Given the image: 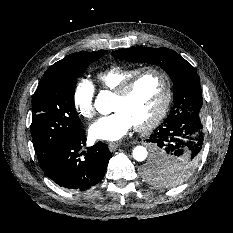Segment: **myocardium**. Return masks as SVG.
Returning a JSON list of instances; mask_svg holds the SVG:
<instances>
[{"label":"myocardium","mask_w":233,"mask_h":233,"mask_svg":"<svg viewBox=\"0 0 233 233\" xmlns=\"http://www.w3.org/2000/svg\"><path fill=\"white\" fill-rule=\"evenodd\" d=\"M155 72L162 76L164 81V95L162 103L157 112L146 122L135 125V129L140 132H147L155 128L166 115L172 100V81L168 72L159 66H146L138 70L126 79L115 91V95L125 97L128 95L136 81L145 73Z\"/></svg>","instance_id":"myocardium-1"}]
</instances>
